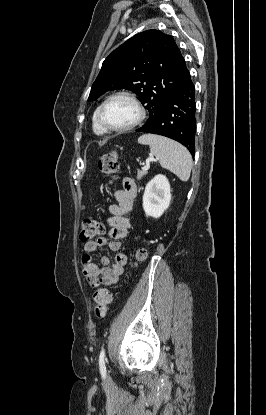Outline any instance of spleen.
Instances as JSON below:
<instances>
[{
  "instance_id": "3e777b00",
  "label": "spleen",
  "mask_w": 266,
  "mask_h": 415,
  "mask_svg": "<svg viewBox=\"0 0 266 415\" xmlns=\"http://www.w3.org/2000/svg\"><path fill=\"white\" fill-rule=\"evenodd\" d=\"M138 143L149 145L151 154L163 168L174 173L183 182L189 180L193 165L192 157L180 143L154 134L140 136Z\"/></svg>"
}]
</instances>
